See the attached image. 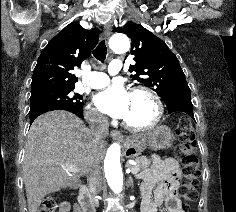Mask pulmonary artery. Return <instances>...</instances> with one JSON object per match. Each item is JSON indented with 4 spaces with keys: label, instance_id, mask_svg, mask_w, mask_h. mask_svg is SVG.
Returning a JSON list of instances; mask_svg holds the SVG:
<instances>
[{
    "label": "pulmonary artery",
    "instance_id": "obj_1",
    "mask_svg": "<svg viewBox=\"0 0 236 212\" xmlns=\"http://www.w3.org/2000/svg\"><path fill=\"white\" fill-rule=\"evenodd\" d=\"M122 63L120 60H114L111 62L108 68L110 75H115L121 70ZM109 83V76L102 72H92L90 74V86L92 88H101Z\"/></svg>",
    "mask_w": 236,
    "mask_h": 212
}]
</instances>
